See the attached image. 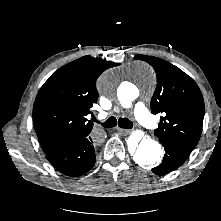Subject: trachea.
<instances>
[{
    "instance_id": "1",
    "label": "trachea",
    "mask_w": 221,
    "mask_h": 221,
    "mask_svg": "<svg viewBox=\"0 0 221 221\" xmlns=\"http://www.w3.org/2000/svg\"><path fill=\"white\" fill-rule=\"evenodd\" d=\"M97 123H100L99 121ZM118 124L120 128L131 129L133 123L127 118H119L118 121L114 116L109 117L105 122L102 123V126L105 128H113Z\"/></svg>"
}]
</instances>
